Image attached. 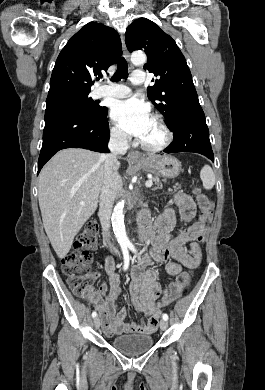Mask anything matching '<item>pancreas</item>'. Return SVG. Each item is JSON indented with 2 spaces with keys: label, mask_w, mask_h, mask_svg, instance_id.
<instances>
[{
  "label": "pancreas",
  "mask_w": 265,
  "mask_h": 390,
  "mask_svg": "<svg viewBox=\"0 0 265 390\" xmlns=\"http://www.w3.org/2000/svg\"><path fill=\"white\" fill-rule=\"evenodd\" d=\"M153 181L155 182V184H157L158 188H161L162 185L160 183V180L157 178V177H154L153 178ZM178 185L174 186V188H176Z\"/></svg>",
  "instance_id": "1"
}]
</instances>
